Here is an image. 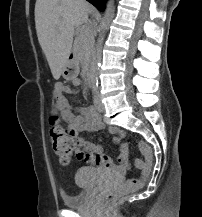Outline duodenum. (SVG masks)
Returning <instances> with one entry per match:
<instances>
[{"instance_id": "1", "label": "duodenum", "mask_w": 202, "mask_h": 217, "mask_svg": "<svg viewBox=\"0 0 202 217\" xmlns=\"http://www.w3.org/2000/svg\"><path fill=\"white\" fill-rule=\"evenodd\" d=\"M70 59H71L72 61L75 60V57H74V54H73V53L70 54ZM70 70H73V68H70ZM86 78H87V82H88V83H91V81H92V74L90 73V71H87Z\"/></svg>"}]
</instances>
